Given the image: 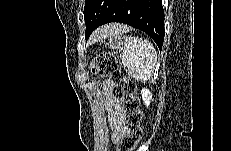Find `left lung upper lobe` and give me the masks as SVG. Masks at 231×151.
<instances>
[{"instance_id":"1","label":"left lung upper lobe","mask_w":231,"mask_h":151,"mask_svg":"<svg viewBox=\"0 0 231 151\" xmlns=\"http://www.w3.org/2000/svg\"><path fill=\"white\" fill-rule=\"evenodd\" d=\"M113 0H85L84 18L86 24L85 35L92 32L107 13Z\"/></svg>"}]
</instances>
